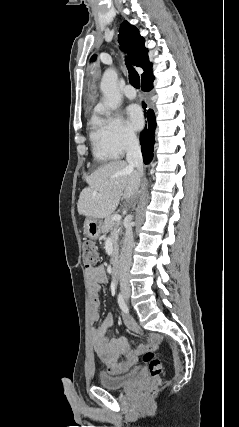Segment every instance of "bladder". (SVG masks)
I'll use <instances>...</instances> for the list:
<instances>
[{
	"label": "bladder",
	"instance_id": "obj_1",
	"mask_svg": "<svg viewBox=\"0 0 239 427\" xmlns=\"http://www.w3.org/2000/svg\"><path fill=\"white\" fill-rule=\"evenodd\" d=\"M140 369L133 368L125 375H112L109 373L101 372L98 375L99 384L108 390H118L129 386L139 375Z\"/></svg>",
	"mask_w": 239,
	"mask_h": 427
}]
</instances>
